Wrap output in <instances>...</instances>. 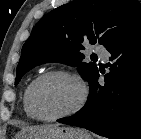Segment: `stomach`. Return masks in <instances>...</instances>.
<instances>
[{"label": "stomach", "instance_id": "1", "mask_svg": "<svg viewBox=\"0 0 141 139\" xmlns=\"http://www.w3.org/2000/svg\"><path fill=\"white\" fill-rule=\"evenodd\" d=\"M15 139H92L91 135L79 128L59 127L57 125L40 126L27 132H21Z\"/></svg>", "mask_w": 141, "mask_h": 139}]
</instances>
